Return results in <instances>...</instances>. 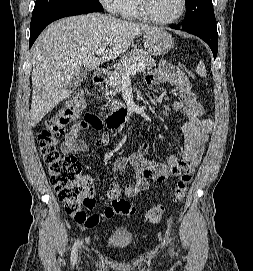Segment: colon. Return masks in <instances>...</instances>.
I'll use <instances>...</instances> for the list:
<instances>
[{
	"label": "colon",
	"instance_id": "obj_1",
	"mask_svg": "<svg viewBox=\"0 0 253 271\" xmlns=\"http://www.w3.org/2000/svg\"><path fill=\"white\" fill-rule=\"evenodd\" d=\"M183 69L188 72V68L184 65ZM84 102L85 95L82 91L75 94L46 122L36 139L51 184L63 202L65 211L79 225L91 227L96 223L95 216L89 213L95 205L92 185L81 178L82 165L77 157L58 148L60 137L66 127L78 116ZM84 119L97 122L99 117L87 114ZM192 176L190 173H185L179 177L173 191L176 201L184 199ZM111 208L114 214L119 215H131L135 212L133 204L123 198L114 199ZM163 213V206L156 205L146 212L145 218L149 223L155 224L161 220Z\"/></svg>",
	"mask_w": 253,
	"mask_h": 271
}]
</instances>
